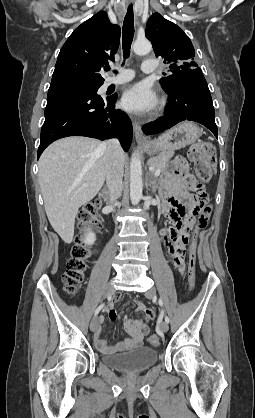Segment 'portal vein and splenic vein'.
<instances>
[{
	"instance_id": "portal-vein-and-splenic-vein-1",
	"label": "portal vein and splenic vein",
	"mask_w": 255,
	"mask_h": 418,
	"mask_svg": "<svg viewBox=\"0 0 255 418\" xmlns=\"http://www.w3.org/2000/svg\"><path fill=\"white\" fill-rule=\"evenodd\" d=\"M151 170H153V168H150ZM160 173H161V170L160 169H158V170H155L154 171V175H155V177H158L159 175H160ZM86 186V185H85Z\"/></svg>"
}]
</instances>
